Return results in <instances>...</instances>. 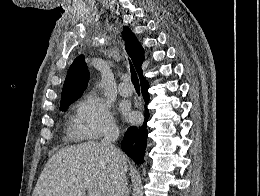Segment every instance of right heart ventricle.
Wrapping results in <instances>:
<instances>
[{"label":"right heart ventricle","mask_w":260,"mask_h":196,"mask_svg":"<svg viewBox=\"0 0 260 196\" xmlns=\"http://www.w3.org/2000/svg\"><path fill=\"white\" fill-rule=\"evenodd\" d=\"M66 192H82V190H66Z\"/></svg>","instance_id":"1"}]
</instances>
